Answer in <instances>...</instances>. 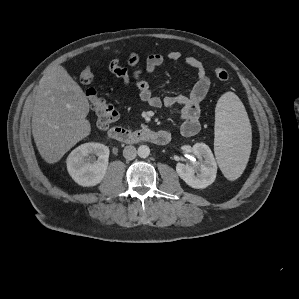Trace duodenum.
Wrapping results in <instances>:
<instances>
[{
  "label": "duodenum",
  "instance_id": "obj_1",
  "mask_svg": "<svg viewBox=\"0 0 299 299\" xmlns=\"http://www.w3.org/2000/svg\"><path fill=\"white\" fill-rule=\"evenodd\" d=\"M108 135L111 139L125 144L152 142L163 145L170 140L166 132L154 131L149 128L131 130L121 126H114L109 130Z\"/></svg>",
  "mask_w": 299,
  "mask_h": 299
}]
</instances>
